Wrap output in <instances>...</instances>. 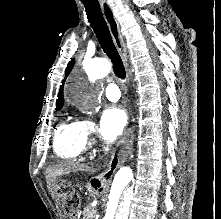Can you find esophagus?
Masks as SVG:
<instances>
[{
    "instance_id": "obj_1",
    "label": "esophagus",
    "mask_w": 221,
    "mask_h": 219,
    "mask_svg": "<svg viewBox=\"0 0 221 219\" xmlns=\"http://www.w3.org/2000/svg\"><path fill=\"white\" fill-rule=\"evenodd\" d=\"M101 8L105 17V20L108 24L111 36L113 38L114 44L117 47L122 60L124 62L126 71H127V77L128 81L130 80V71L128 67V58H127V49H126V44L123 39V36L121 35L119 24L117 22V19L114 16V13L108 3H101Z\"/></svg>"
}]
</instances>
